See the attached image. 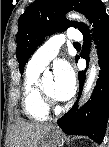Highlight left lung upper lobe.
Returning a JSON list of instances; mask_svg holds the SVG:
<instances>
[{"instance_id": "obj_1", "label": "left lung upper lobe", "mask_w": 109, "mask_h": 147, "mask_svg": "<svg viewBox=\"0 0 109 147\" xmlns=\"http://www.w3.org/2000/svg\"><path fill=\"white\" fill-rule=\"evenodd\" d=\"M101 3L100 0H35L18 21L16 56L20 72L22 73L27 60L45 36L56 31L63 32L71 26L79 30L85 26L83 23L66 19V12L79 11L90 19Z\"/></svg>"}]
</instances>
